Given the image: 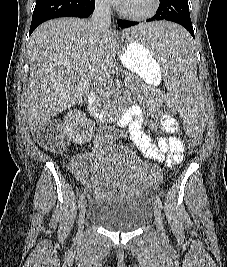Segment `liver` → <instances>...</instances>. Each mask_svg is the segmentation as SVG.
<instances>
[{
    "label": "liver",
    "instance_id": "6515ba94",
    "mask_svg": "<svg viewBox=\"0 0 227 267\" xmlns=\"http://www.w3.org/2000/svg\"><path fill=\"white\" fill-rule=\"evenodd\" d=\"M125 33H132V28ZM116 53L114 33L107 29L96 34L88 20L59 18L41 24L28 46L26 102L31 131L80 103L90 85L112 66Z\"/></svg>",
    "mask_w": 227,
    "mask_h": 267
}]
</instances>
